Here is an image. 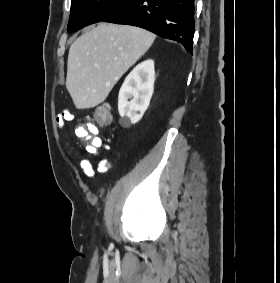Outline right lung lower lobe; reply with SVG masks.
I'll use <instances>...</instances> for the list:
<instances>
[{
    "label": "right lung lower lobe",
    "instance_id": "obj_1",
    "mask_svg": "<svg viewBox=\"0 0 280 283\" xmlns=\"http://www.w3.org/2000/svg\"><path fill=\"white\" fill-rule=\"evenodd\" d=\"M103 22L138 26L193 51L194 0H132Z\"/></svg>",
    "mask_w": 280,
    "mask_h": 283
}]
</instances>
